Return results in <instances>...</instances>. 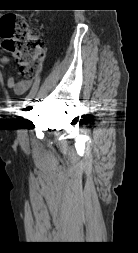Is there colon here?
I'll use <instances>...</instances> for the list:
<instances>
[{"instance_id":"1","label":"colon","mask_w":138,"mask_h":253,"mask_svg":"<svg viewBox=\"0 0 138 253\" xmlns=\"http://www.w3.org/2000/svg\"><path fill=\"white\" fill-rule=\"evenodd\" d=\"M0 37L4 49L16 58L20 74L34 78L45 56V44L29 29L26 20L17 14L2 16Z\"/></svg>"}]
</instances>
